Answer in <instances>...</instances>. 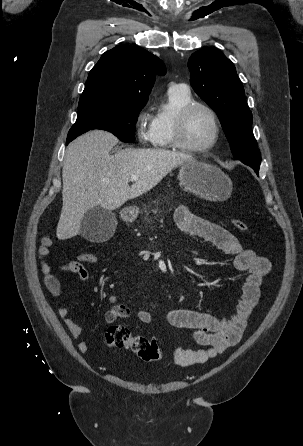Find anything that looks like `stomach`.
<instances>
[{
	"label": "stomach",
	"instance_id": "0dacf381",
	"mask_svg": "<svg viewBox=\"0 0 303 446\" xmlns=\"http://www.w3.org/2000/svg\"><path fill=\"white\" fill-rule=\"evenodd\" d=\"M178 179L188 192L208 201L222 202L232 192V182L216 166L192 159L180 165ZM139 208L131 207L123 211L122 217L131 221L137 217Z\"/></svg>",
	"mask_w": 303,
	"mask_h": 446
}]
</instances>
